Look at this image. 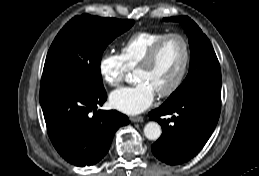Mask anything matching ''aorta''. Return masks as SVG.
<instances>
[{
  "label": "aorta",
  "mask_w": 259,
  "mask_h": 176,
  "mask_svg": "<svg viewBox=\"0 0 259 176\" xmlns=\"http://www.w3.org/2000/svg\"><path fill=\"white\" fill-rule=\"evenodd\" d=\"M161 133V126L157 122L151 121L144 127V135L149 140H157Z\"/></svg>",
  "instance_id": "1"
}]
</instances>
